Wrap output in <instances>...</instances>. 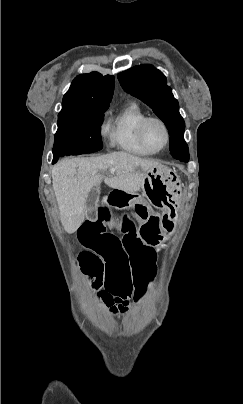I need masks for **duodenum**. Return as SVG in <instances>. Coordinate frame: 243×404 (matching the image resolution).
<instances>
[{
  "instance_id": "1",
  "label": "duodenum",
  "mask_w": 243,
  "mask_h": 404,
  "mask_svg": "<svg viewBox=\"0 0 243 404\" xmlns=\"http://www.w3.org/2000/svg\"><path fill=\"white\" fill-rule=\"evenodd\" d=\"M136 195L124 188H114L108 195L109 205L117 209L133 207L136 203Z\"/></svg>"
}]
</instances>
